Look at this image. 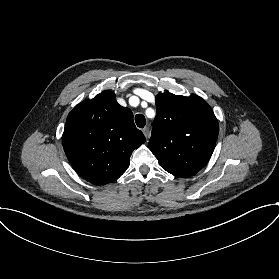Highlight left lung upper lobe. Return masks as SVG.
Masks as SVG:
<instances>
[{"label": "left lung upper lobe", "instance_id": "left-lung-upper-lobe-1", "mask_svg": "<svg viewBox=\"0 0 279 279\" xmlns=\"http://www.w3.org/2000/svg\"><path fill=\"white\" fill-rule=\"evenodd\" d=\"M149 148L161 167L178 177H190L209 161L218 137V121L199 96L171 93L156 97Z\"/></svg>", "mask_w": 279, "mask_h": 279}]
</instances>
